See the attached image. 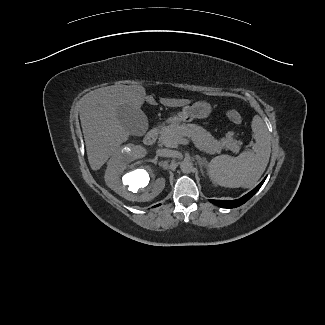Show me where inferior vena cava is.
I'll use <instances>...</instances> for the list:
<instances>
[{
    "instance_id": "1",
    "label": "inferior vena cava",
    "mask_w": 325,
    "mask_h": 325,
    "mask_svg": "<svg viewBox=\"0 0 325 325\" xmlns=\"http://www.w3.org/2000/svg\"><path fill=\"white\" fill-rule=\"evenodd\" d=\"M156 154L161 157H174L175 151L170 149H159L157 150Z\"/></svg>"
}]
</instances>
